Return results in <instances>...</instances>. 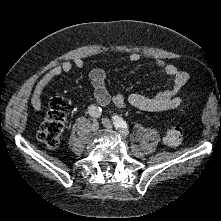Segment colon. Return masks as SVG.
I'll return each mask as SVG.
<instances>
[{
  "instance_id": "obj_1",
  "label": "colon",
  "mask_w": 221,
  "mask_h": 221,
  "mask_svg": "<svg viewBox=\"0 0 221 221\" xmlns=\"http://www.w3.org/2000/svg\"><path fill=\"white\" fill-rule=\"evenodd\" d=\"M67 106L60 97L51 99L43 122L37 131V138L48 148H56L62 138L66 122ZM183 139V131L177 125H170L165 133L164 141L171 147H177Z\"/></svg>"
}]
</instances>
